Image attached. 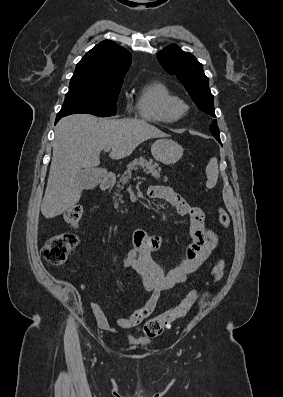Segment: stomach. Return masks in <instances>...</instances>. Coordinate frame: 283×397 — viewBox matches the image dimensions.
<instances>
[{
    "mask_svg": "<svg viewBox=\"0 0 283 397\" xmlns=\"http://www.w3.org/2000/svg\"><path fill=\"white\" fill-rule=\"evenodd\" d=\"M183 151L182 146L171 139L156 140L151 146L153 157L165 165H172L179 161L183 156Z\"/></svg>",
    "mask_w": 283,
    "mask_h": 397,
    "instance_id": "stomach-1",
    "label": "stomach"
}]
</instances>
